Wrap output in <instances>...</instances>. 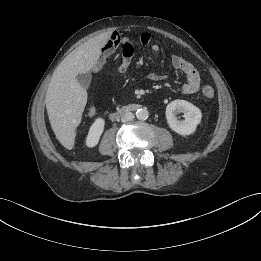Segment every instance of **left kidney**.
Wrapping results in <instances>:
<instances>
[{"label": "left kidney", "mask_w": 261, "mask_h": 261, "mask_svg": "<svg viewBox=\"0 0 261 261\" xmlns=\"http://www.w3.org/2000/svg\"><path fill=\"white\" fill-rule=\"evenodd\" d=\"M178 112L184 113V120L177 119L176 113ZM201 118V110L185 100H174L166 107V119L169 127L183 136L194 133Z\"/></svg>", "instance_id": "left-kidney-1"}]
</instances>
